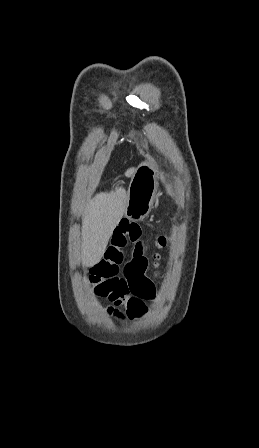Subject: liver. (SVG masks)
<instances>
[{
    "label": "liver",
    "instance_id": "1",
    "mask_svg": "<svg viewBox=\"0 0 259 448\" xmlns=\"http://www.w3.org/2000/svg\"><path fill=\"white\" fill-rule=\"evenodd\" d=\"M129 170L127 176L135 174ZM127 206L125 188H117L115 192H100L89 200L82 214L81 256L84 266L92 268L100 262L106 246L118 226Z\"/></svg>",
    "mask_w": 259,
    "mask_h": 448
}]
</instances>
